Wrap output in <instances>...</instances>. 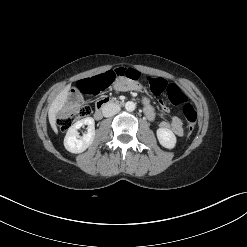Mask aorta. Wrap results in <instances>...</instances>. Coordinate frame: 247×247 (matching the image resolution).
<instances>
[{
  "label": "aorta",
  "mask_w": 247,
  "mask_h": 247,
  "mask_svg": "<svg viewBox=\"0 0 247 247\" xmlns=\"http://www.w3.org/2000/svg\"><path fill=\"white\" fill-rule=\"evenodd\" d=\"M135 108H136V104H135L134 102H132V101L126 102V104H125V109H126L127 111L132 112V111L135 110Z\"/></svg>",
  "instance_id": "obj_1"
}]
</instances>
